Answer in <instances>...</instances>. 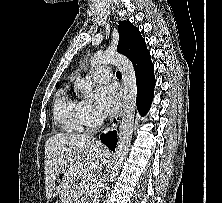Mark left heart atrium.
I'll list each match as a JSON object with an SVG mask.
<instances>
[{"label": "left heart atrium", "instance_id": "left-heart-atrium-1", "mask_svg": "<svg viewBox=\"0 0 222 203\" xmlns=\"http://www.w3.org/2000/svg\"><path fill=\"white\" fill-rule=\"evenodd\" d=\"M120 103V91L114 85H106L95 92V106L102 115H113Z\"/></svg>", "mask_w": 222, "mask_h": 203}]
</instances>
